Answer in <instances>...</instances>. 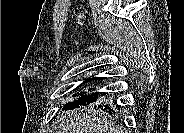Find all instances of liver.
<instances>
[{
  "label": "liver",
  "mask_w": 184,
  "mask_h": 133,
  "mask_svg": "<svg viewBox=\"0 0 184 133\" xmlns=\"http://www.w3.org/2000/svg\"><path fill=\"white\" fill-rule=\"evenodd\" d=\"M58 133H119L107 118L93 109L79 108L63 113L57 118Z\"/></svg>",
  "instance_id": "liver-1"
}]
</instances>
